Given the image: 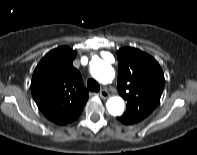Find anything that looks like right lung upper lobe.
<instances>
[{
	"label": "right lung upper lobe",
	"mask_w": 197,
	"mask_h": 155,
	"mask_svg": "<svg viewBox=\"0 0 197 155\" xmlns=\"http://www.w3.org/2000/svg\"><path fill=\"white\" fill-rule=\"evenodd\" d=\"M75 56L67 46L51 50L37 65L31 81L38 108L58 125L76 120L88 100L81 74L72 65Z\"/></svg>",
	"instance_id": "1"
}]
</instances>
